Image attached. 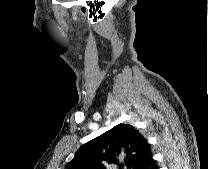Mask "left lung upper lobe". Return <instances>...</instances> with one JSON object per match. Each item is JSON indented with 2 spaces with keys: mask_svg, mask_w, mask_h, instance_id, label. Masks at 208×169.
Returning <instances> with one entry per match:
<instances>
[{
  "mask_svg": "<svg viewBox=\"0 0 208 169\" xmlns=\"http://www.w3.org/2000/svg\"><path fill=\"white\" fill-rule=\"evenodd\" d=\"M149 151L146 139L133 126L121 123L84 144L67 167L106 169L105 164H116L119 169H140Z\"/></svg>",
  "mask_w": 208,
  "mask_h": 169,
  "instance_id": "left-lung-upper-lobe-1",
  "label": "left lung upper lobe"
}]
</instances>
